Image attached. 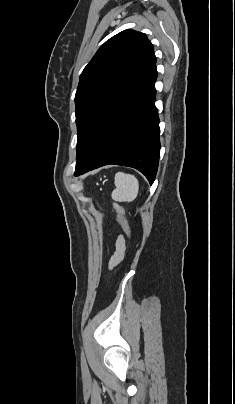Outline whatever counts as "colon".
I'll return each instance as SVG.
<instances>
[{"label": "colon", "instance_id": "1", "mask_svg": "<svg viewBox=\"0 0 235 404\" xmlns=\"http://www.w3.org/2000/svg\"><path fill=\"white\" fill-rule=\"evenodd\" d=\"M115 209L117 210V212H118L119 214H123V212H124L123 208H122L120 205H118V204H115ZM123 229H124L125 233H126L129 237L132 236L131 228H130L129 224H128L125 220L123 221Z\"/></svg>", "mask_w": 235, "mask_h": 404}]
</instances>
